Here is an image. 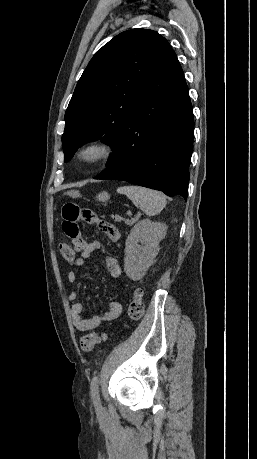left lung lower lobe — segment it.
<instances>
[{
  "label": "left lung lower lobe",
  "mask_w": 257,
  "mask_h": 459,
  "mask_svg": "<svg viewBox=\"0 0 257 459\" xmlns=\"http://www.w3.org/2000/svg\"><path fill=\"white\" fill-rule=\"evenodd\" d=\"M194 120L183 70L173 51L122 125L114 154L95 179H114L187 200Z\"/></svg>",
  "instance_id": "obj_1"
}]
</instances>
